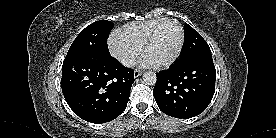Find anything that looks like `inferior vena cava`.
Listing matches in <instances>:
<instances>
[{
    "label": "inferior vena cava",
    "mask_w": 276,
    "mask_h": 138,
    "mask_svg": "<svg viewBox=\"0 0 276 138\" xmlns=\"http://www.w3.org/2000/svg\"><path fill=\"white\" fill-rule=\"evenodd\" d=\"M121 64L125 67H132L136 64V59L134 57H124L121 60Z\"/></svg>",
    "instance_id": "602c4592"
}]
</instances>
